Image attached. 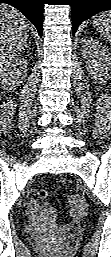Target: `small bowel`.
<instances>
[{
  "label": "small bowel",
  "instance_id": "small-bowel-1",
  "mask_svg": "<svg viewBox=\"0 0 111 257\" xmlns=\"http://www.w3.org/2000/svg\"><path fill=\"white\" fill-rule=\"evenodd\" d=\"M30 212H31L32 217L34 218L35 217V213H34L33 208L30 209Z\"/></svg>",
  "mask_w": 111,
  "mask_h": 257
}]
</instances>
